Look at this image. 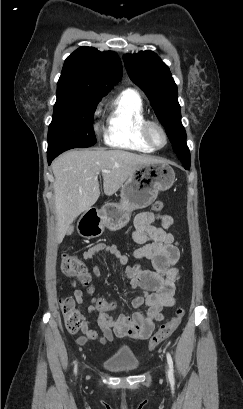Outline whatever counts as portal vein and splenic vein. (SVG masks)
<instances>
[{
  "instance_id": "obj_1",
  "label": "portal vein and splenic vein",
  "mask_w": 243,
  "mask_h": 409,
  "mask_svg": "<svg viewBox=\"0 0 243 409\" xmlns=\"http://www.w3.org/2000/svg\"><path fill=\"white\" fill-rule=\"evenodd\" d=\"M106 172H108V171H107V170H105V169H103V170H102V173H106Z\"/></svg>"
}]
</instances>
